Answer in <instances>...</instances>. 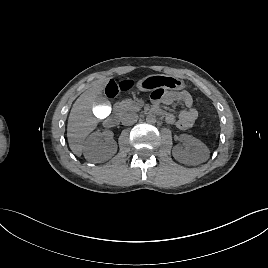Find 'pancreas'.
Returning <instances> with one entry per match:
<instances>
[{"label": "pancreas", "instance_id": "1", "mask_svg": "<svg viewBox=\"0 0 268 268\" xmlns=\"http://www.w3.org/2000/svg\"><path fill=\"white\" fill-rule=\"evenodd\" d=\"M116 108L121 111V112H126V111H138L143 104L135 102L133 100H123L119 103H116Z\"/></svg>", "mask_w": 268, "mask_h": 268}]
</instances>
